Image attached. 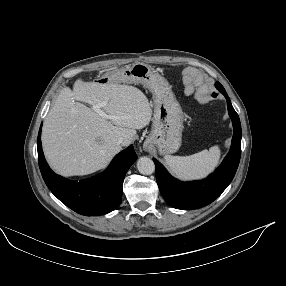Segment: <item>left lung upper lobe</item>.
I'll return each mask as SVG.
<instances>
[{
  "label": "left lung upper lobe",
  "mask_w": 286,
  "mask_h": 286,
  "mask_svg": "<svg viewBox=\"0 0 286 286\" xmlns=\"http://www.w3.org/2000/svg\"><path fill=\"white\" fill-rule=\"evenodd\" d=\"M216 88L221 92H226L223 86L219 82L216 83Z\"/></svg>",
  "instance_id": "left-lung-upper-lobe-1"
}]
</instances>
